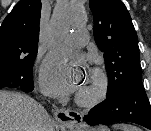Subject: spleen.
<instances>
[{
	"instance_id": "1",
	"label": "spleen",
	"mask_w": 151,
	"mask_h": 131,
	"mask_svg": "<svg viewBox=\"0 0 151 131\" xmlns=\"http://www.w3.org/2000/svg\"><path fill=\"white\" fill-rule=\"evenodd\" d=\"M115 129H119L121 131H140L137 127L132 125H126V124H117L114 125Z\"/></svg>"
}]
</instances>
